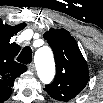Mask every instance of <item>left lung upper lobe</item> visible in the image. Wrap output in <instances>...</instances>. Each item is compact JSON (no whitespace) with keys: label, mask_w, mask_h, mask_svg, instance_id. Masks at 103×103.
Segmentation results:
<instances>
[{"label":"left lung upper lobe","mask_w":103,"mask_h":103,"mask_svg":"<svg viewBox=\"0 0 103 103\" xmlns=\"http://www.w3.org/2000/svg\"><path fill=\"white\" fill-rule=\"evenodd\" d=\"M44 38L53 50L57 70L54 81L46 85L44 90L54 99L71 100L84 89L89 80L88 65L67 30L51 28L44 34Z\"/></svg>","instance_id":"1"}]
</instances>
